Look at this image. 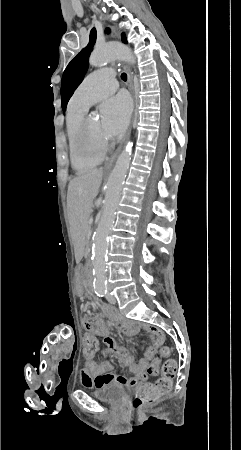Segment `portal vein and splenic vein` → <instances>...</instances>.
<instances>
[{
	"label": "portal vein and splenic vein",
	"instance_id": "1",
	"mask_svg": "<svg viewBox=\"0 0 241 450\" xmlns=\"http://www.w3.org/2000/svg\"><path fill=\"white\" fill-rule=\"evenodd\" d=\"M90 231H87V234H89V236H92V232H91V228L89 229Z\"/></svg>",
	"mask_w": 241,
	"mask_h": 450
}]
</instances>
